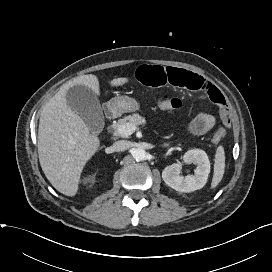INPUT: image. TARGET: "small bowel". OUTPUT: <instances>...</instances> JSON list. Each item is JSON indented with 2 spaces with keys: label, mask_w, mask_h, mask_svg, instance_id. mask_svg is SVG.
<instances>
[{
  "label": "small bowel",
  "mask_w": 272,
  "mask_h": 272,
  "mask_svg": "<svg viewBox=\"0 0 272 272\" xmlns=\"http://www.w3.org/2000/svg\"><path fill=\"white\" fill-rule=\"evenodd\" d=\"M138 82L145 86H174L193 91H201L207 94L212 102L221 110L222 119L227 122L229 110L222 92L212 83L191 71L174 67H162L156 65H141L135 72ZM215 125V118L206 113L195 116L187 125V130L194 135H202Z\"/></svg>",
  "instance_id": "small-bowel-1"
}]
</instances>
